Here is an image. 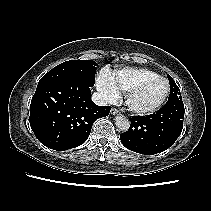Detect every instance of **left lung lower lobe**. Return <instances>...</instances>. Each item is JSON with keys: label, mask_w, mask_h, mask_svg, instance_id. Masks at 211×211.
Listing matches in <instances>:
<instances>
[{"label": "left lung lower lobe", "mask_w": 211, "mask_h": 211, "mask_svg": "<svg viewBox=\"0 0 211 211\" xmlns=\"http://www.w3.org/2000/svg\"><path fill=\"white\" fill-rule=\"evenodd\" d=\"M182 100L167 102L156 113L133 116L128 131L120 135L122 144L134 152L153 155L165 151L177 140L183 129Z\"/></svg>", "instance_id": "0a47b994"}]
</instances>
